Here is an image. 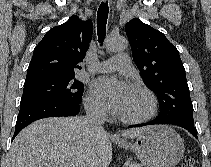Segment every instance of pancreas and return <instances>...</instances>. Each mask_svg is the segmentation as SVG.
<instances>
[{"mask_svg":"<svg viewBox=\"0 0 211 167\" xmlns=\"http://www.w3.org/2000/svg\"><path fill=\"white\" fill-rule=\"evenodd\" d=\"M124 167H142V166L138 163L128 161L124 164Z\"/></svg>","mask_w":211,"mask_h":167,"instance_id":"cf45deb5","label":"pancreas"}]
</instances>
